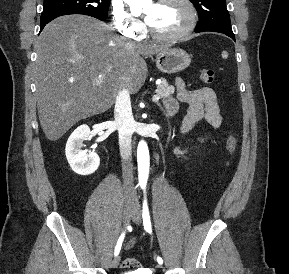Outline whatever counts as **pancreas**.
<instances>
[{
    "instance_id": "cf45deb5",
    "label": "pancreas",
    "mask_w": 289,
    "mask_h": 274,
    "mask_svg": "<svg viewBox=\"0 0 289 274\" xmlns=\"http://www.w3.org/2000/svg\"><path fill=\"white\" fill-rule=\"evenodd\" d=\"M175 88L173 86H170L168 82L163 79L162 82L157 86L156 93L161 98H167L174 94Z\"/></svg>"
}]
</instances>
